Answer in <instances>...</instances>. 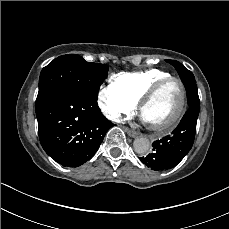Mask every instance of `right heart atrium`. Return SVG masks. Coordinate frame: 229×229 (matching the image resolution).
Returning <instances> with one entry per match:
<instances>
[{
	"label": "right heart atrium",
	"mask_w": 229,
	"mask_h": 229,
	"mask_svg": "<svg viewBox=\"0 0 229 229\" xmlns=\"http://www.w3.org/2000/svg\"><path fill=\"white\" fill-rule=\"evenodd\" d=\"M97 104L111 121H117L121 114H131L137 109V101L129 97L114 81L100 87Z\"/></svg>",
	"instance_id": "right-heart-atrium-1"
}]
</instances>
